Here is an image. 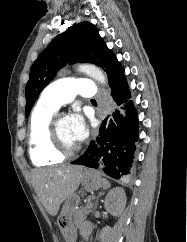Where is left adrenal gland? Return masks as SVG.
Returning <instances> with one entry per match:
<instances>
[{
  "label": "left adrenal gland",
  "instance_id": "a2214340",
  "mask_svg": "<svg viewBox=\"0 0 187 242\" xmlns=\"http://www.w3.org/2000/svg\"><path fill=\"white\" fill-rule=\"evenodd\" d=\"M101 195H104V192H100V193L98 194V196L96 197L95 207H97V205H98V199H99V197H100Z\"/></svg>",
  "mask_w": 187,
  "mask_h": 242
}]
</instances>
